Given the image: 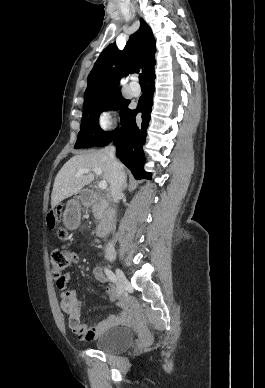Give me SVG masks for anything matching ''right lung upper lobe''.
Returning a JSON list of instances; mask_svg holds the SVG:
<instances>
[{"label": "right lung upper lobe", "instance_id": "obj_1", "mask_svg": "<svg viewBox=\"0 0 265 388\" xmlns=\"http://www.w3.org/2000/svg\"><path fill=\"white\" fill-rule=\"evenodd\" d=\"M155 39L152 30L141 18L140 28L130 36L123 51L115 42L107 46L94 64L88 76L84 99L107 90L119 89L122 75L144 68L147 78L155 74Z\"/></svg>", "mask_w": 265, "mask_h": 388}]
</instances>
